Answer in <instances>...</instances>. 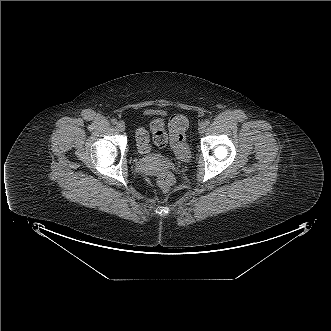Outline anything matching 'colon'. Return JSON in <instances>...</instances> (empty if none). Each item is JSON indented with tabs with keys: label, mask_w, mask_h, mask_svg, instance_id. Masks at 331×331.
<instances>
[{
	"label": "colon",
	"mask_w": 331,
	"mask_h": 331,
	"mask_svg": "<svg viewBox=\"0 0 331 331\" xmlns=\"http://www.w3.org/2000/svg\"><path fill=\"white\" fill-rule=\"evenodd\" d=\"M188 128V120L184 115H173L168 123L169 136L163 127H156L153 131V141L158 147H165L168 142L173 148L179 159L185 161L189 157V151L186 143V131ZM146 142L143 140L142 148L145 149ZM157 182L164 191H169L174 183V177L168 173H161Z\"/></svg>",
	"instance_id": "1"
}]
</instances>
